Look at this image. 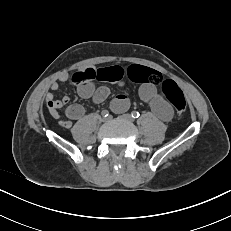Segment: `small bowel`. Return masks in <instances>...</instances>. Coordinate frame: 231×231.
Segmentation results:
<instances>
[{
    "instance_id": "c3829d8e",
    "label": "small bowel",
    "mask_w": 231,
    "mask_h": 231,
    "mask_svg": "<svg viewBox=\"0 0 231 231\" xmlns=\"http://www.w3.org/2000/svg\"><path fill=\"white\" fill-rule=\"evenodd\" d=\"M132 68L126 70L121 66L106 68L87 67L78 72V74L82 76V80L78 83L77 92L83 99H92L94 103H101L108 98L110 91L106 86L96 88L94 81L99 80L121 84L126 76L131 77ZM68 79V73H62L58 77V80L61 82H65ZM59 86L58 81L51 83V91L45 94L46 106L50 114L54 118L59 119V125L69 129L72 127V121L79 120L84 116L85 109L80 104H69L70 99L68 96H64L61 100H55L53 92L57 91ZM139 96L141 100L150 106L152 112L157 117L163 121H169L172 118L173 110L163 90L159 91L155 85L150 83H141L139 87ZM129 105L128 98L122 94L118 95L111 102V108L116 113L126 111ZM62 107H66L65 119H61L58 112Z\"/></svg>"
}]
</instances>
